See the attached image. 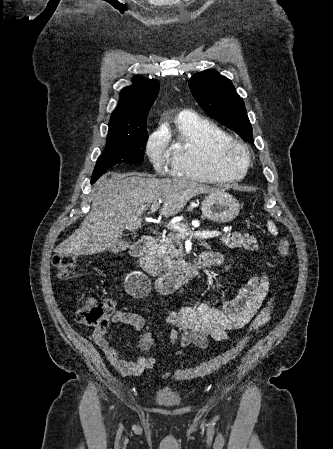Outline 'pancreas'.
Wrapping results in <instances>:
<instances>
[{
  "instance_id": "1",
  "label": "pancreas",
  "mask_w": 333,
  "mask_h": 449,
  "mask_svg": "<svg viewBox=\"0 0 333 449\" xmlns=\"http://www.w3.org/2000/svg\"><path fill=\"white\" fill-rule=\"evenodd\" d=\"M187 229L188 226L185 225ZM188 238L182 232L173 230L166 238L160 241L155 249L154 255L157 263L166 271H171L177 267L184 257L182 242ZM222 242L230 248L243 247L246 250L258 249L257 240L254 237H249L247 234L242 235L239 232L226 233L221 238ZM176 245L179 247L176 248Z\"/></svg>"
}]
</instances>
